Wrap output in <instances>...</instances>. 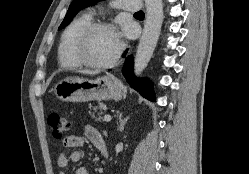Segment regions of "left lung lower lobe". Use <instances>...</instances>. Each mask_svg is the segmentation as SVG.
Returning a JSON list of instances; mask_svg holds the SVG:
<instances>
[{
    "instance_id": "left-lung-lower-lobe-1",
    "label": "left lung lower lobe",
    "mask_w": 249,
    "mask_h": 174,
    "mask_svg": "<svg viewBox=\"0 0 249 174\" xmlns=\"http://www.w3.org/2000/svg\"><path fill=\"white\" fill-rule=\"evenodd\" d=\"M123 75L126 77L127 82L130 84V86L137 90L142 96L151 101L155 100L151 83L146 79H139L134 76L132 56L127 57V63L124 66Z\"/></svg>"
}]
</instances>
